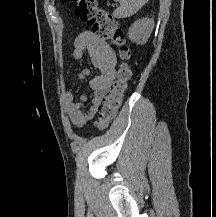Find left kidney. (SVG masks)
Wrapping results in <instances>:
<instances>
[{"label":"left kidney","instance_id":"1","mask_svg":"<svg viewBox=\"0 0 216 217\" xmlns=\"http://www.w3.org/2000/svg\"><path fill=\"white\" fill-rule=\"evenodd\" d=\"M154 27L153 19L142 18L133 23L129 28L128 37L137 44H144L150 37Z\"/></svg>","mask_w":216,"mask_h":217}]
</instances>
